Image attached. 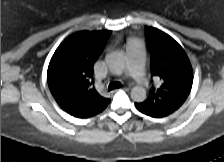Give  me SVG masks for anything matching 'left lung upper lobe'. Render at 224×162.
Instances as JSON below:
<instances>
[{
    "label": "left lung upper lobe",
    "mask_w": 224,
    "mask_h": 162,
    "mask_svg": "<svg viewBox=\"0 0 224 162\" xmlns=\"http://www.w3.org/2000/svg\"><path fill=\"white\" fill-rule=\"evenodd\" d=\"M151 51V71L159 78V87H152L149 97L137 104L141 111L170 114L187 99L193 71L183 48L168 34L145 27Z\"/></svg>",
    "instance_id": "5c2ea615"
}]
</instances>
